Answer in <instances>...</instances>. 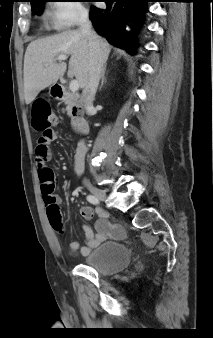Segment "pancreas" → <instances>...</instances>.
Here are the masks:
<instances>
[{
  "label": "pancreas",
  "mask_w": 213,
  "mask_h": 338,
  "mask_svg": "<svg viewBox=\"0 0 213 338\" xmlns=\"http://www.w3.org/2000/svg\"><path fill=\"white\" fill-rule=\"evenodd\" d=\"M66 104H67L66 110H67V112L69 114L71 112V106H70L69 102H66Z\"/></svg>",
  "instance_id": "pancreas-1"
}]
</instances>
